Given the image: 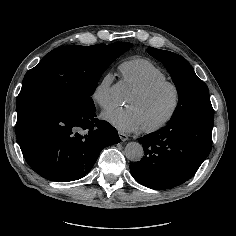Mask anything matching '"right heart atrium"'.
<instances>
[{"instance_id": "right-heart-atrium-1", "label": "right heart atrium", "mask_w": 236, "mask_h": 236, "mask_svg": "<svg viewBox=\"0 0 236 236\" xmlns=\"http://www.w3.org/2000/svg\"><path fill=\"white\" fill-rule=\"evenodd\" d=\"M114 80V74L106 72L92 89L91 98L102 109H108L114 103L112 97Z\"/></svg>"}]
</instances>
